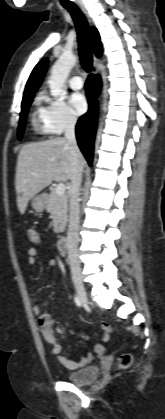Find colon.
<instances>
[{
  "label": "colon",
  "mask_w": 165,
  "mask_h": 419,
  "mask_svg": "<svg viewBox=\"0 0 165 419\" xmlns=\"http://www.w3.org/2000/svg\"><path fill=\"white\" fill-rule=\"evenodd\" d=\"M28 237H29L30 241L34 242V243L38 242V240H39V236H38L37 232L33 229L28 230ZM100 329L104 333V337H106L110 328H109L108 324L101 323L100 324ZM132 361H133L132 354L124 353L119 358L118 366L121 369L127 368L131 365Z\"/></svg>",
  "instance_id": "5ec220e1"
}]
</instances>
